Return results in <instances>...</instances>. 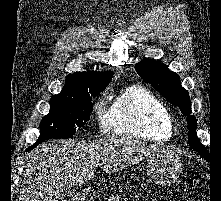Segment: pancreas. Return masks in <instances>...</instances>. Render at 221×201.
I'll use <instances>...</instances> for the list:
<instances>
[{
  "mask_svg": "<svg viewBox=\"0 0 221 201\" xmlns=\"http://www.w3.org/2000/svg\"><path fill=\"white\" fill-rule=\"evenodd\" d=\"M107 201H115V197H114V196H111V197L108 198Z\"/></svg>",
  "mask_w": 221,
  "mask_h": 201,
  "instance_id": "cf45deb5",
  "label": "pancreas"
}]
</instances>
